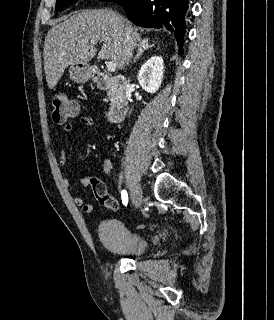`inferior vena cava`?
Instances as JSON below:
<instances>
[{
    "instance_id": "inferior-vena-cava-1",
    "label": "inferior vena cava",
    "mask_w": 274,
    "mask_h": 320,
    "mask_svg": "<svg viewBox=\"0 0 274 320\" xmlns=\"http://www.w3.org/2000/svg\"><path fill=\"white\" fill-rule=\"evenodd\" d=\"M132 28H129V26H125L122 34V38L126 44L125 46V64H129L131 58H132V50L134 48V42L132 38Z\"/></svg>"
}]
</instances>
